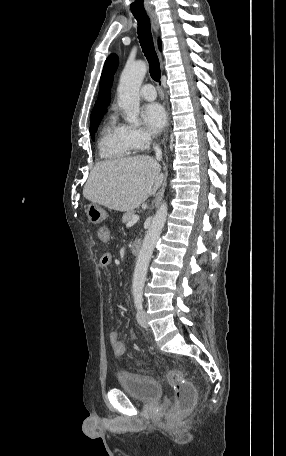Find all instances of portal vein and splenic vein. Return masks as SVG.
<instances>
[{
	"mask_svg": "<svg viewBox=\"0 0 286 456\" xmlns=\"http://www.w3.org/2000/svg\"><path fill=\"white\" fill-rule=\"evenodd\" d=\"M138 220L139 216L135 214L132 216L131 220L129 221V224L136 223Z\"/></svg>",
	"mask_w": 286,
	"mask_h": 456,
	"instance_id": "obj_1",
	"label": "portal vein and splenic vein"
}]
</instances>
